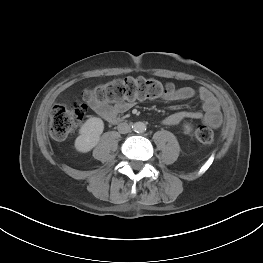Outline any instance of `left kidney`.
Returning a JSON list of instances; mask_svg holds the SVG:
<instances>
[{
  "label": "left kidney",
  "mask_w": 263,
  "mask_h": 263,
  "mask_svg": "<svg viewBox=\"0 0 263 263\" xmlns=\"http://www.w3.org/2000/svg\"><path fill=\"white\" fill-rule=\"evenodd\" d=\"M184 129H185V131H186L187 133H190V132H191V127H190L189 124H185V125H184Z\"/></svg>",
  "instance_id": "left-kidney-1"
}]
</instances>
